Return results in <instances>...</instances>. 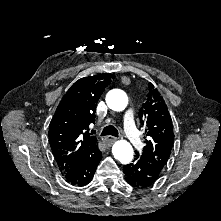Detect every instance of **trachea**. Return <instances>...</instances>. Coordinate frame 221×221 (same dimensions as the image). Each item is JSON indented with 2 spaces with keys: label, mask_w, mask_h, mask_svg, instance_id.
Here are the masks:
<instances>
[{
  "label": "trachea",
  "mask_w": 221,
  "mask_h": 221,
  "mask_svg": "<svg viewBox=\"0 0 221 221\" xmlns=\"http://www.w3.org/2000/svg\"><path fill=\"white\" fill-rule=\"evenodd\" d=\"M107 135L118 137L119 134H118L117 129L114 126L109 125V126H106L101 133V136H107Z\"/></svg>",
  "instance_id": "obj_1"
}]
</instances>
